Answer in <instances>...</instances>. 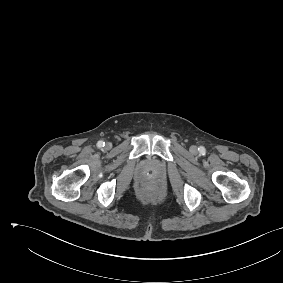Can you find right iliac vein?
Returning <instances> with one entry per match:
<instances>
[{"label":"right iliac vein","mask_w":283,"mask_h":283,"mask_svg":"<svg viewBox=\"0 0 283 283\" xmlns=\"http://www.w3.org/2000/svg\"><path fill=\"white\" fill-rule=\"evenodd\" d=\"M105 147H106V148H110V147H111V144H110V143H107V144L105 145Z\"/></svg>","instance_id":"obj_1"}]
</instances>
